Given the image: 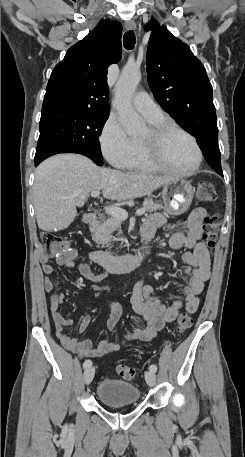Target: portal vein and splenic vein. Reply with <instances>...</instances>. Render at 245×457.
<instances>
[{"mask_svg":"<svg viewBox=\"0 0 245 457\" xmlns=\"http://www.w3.org/2000/svg\"><path fill=\"white\" fill-rule=\"evenodd\" d=\"M100 190H92L91 196H99ZM107 214H111V216H115V218H120V220H126L128 216L127 210H124V208H120V206H108V208H105ZM145 208H138L136 210V214L138 216H141V214H144Z\"/></svg>","mask_w":245,"mask_h":457,"instance_id":"18ae733b","label":"portal vein and splenic vein"}]
</instances>
